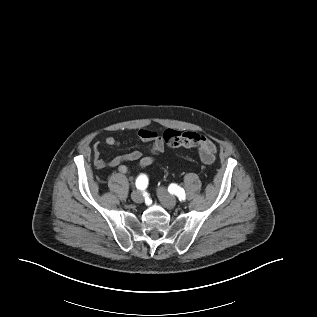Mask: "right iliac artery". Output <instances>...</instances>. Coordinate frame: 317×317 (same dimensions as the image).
<instances>
[{
    "instance_id": "obj_1",
    "label": "right iliac artery",
    "mask_w": 317,
    "mask_h": 317,
    "mask_svg": "<svg viewBox=\"0 0 317 317\" xmlns=\"http://www.w3.org/2000/svg\"><path fill=\"white\" fill-rule=\"evenodd\" d=\"M136 187L139 189V190H143L147 187L148 185V178L146 175L142 174L140 175L137 179H136Z\"/></svg>"
}]
</instances>
